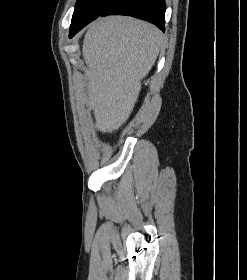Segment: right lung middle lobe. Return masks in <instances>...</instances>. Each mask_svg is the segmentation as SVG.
Segmentation results:
<instances>
[{
  "mask_svg": "<svg viewBox=\"0 0 247 280\" xmlns=\"http://www.w3.org/2000/svg\"><path fill=\"white\" fill-rule=\"evenodd\" d=\"M109 0H78L73 13L71 27L94 19Z\"/></svg>",
  "mask_w": 247,
  "mask_h": 280,
  "instance_id": "obj_1",
  "label": "right lung middle lobe"
}]
</instances>
